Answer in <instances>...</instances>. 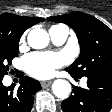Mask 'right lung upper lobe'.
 Masks as SVG:
<instances>
[{"label":"right lung upper lobe","mask_w":112,"mask_h":112,"mask_svg":"<svg viewBox=\"0 0 112 112\" xmlns=\"http://www.w3.org/2000/svg\"><path fill=\"white\" fill-rule=\"evenodd\" d=\"M42 21L44 19L40 17H21L11 13L2 14L0 15V36L21 37L27 28Z\"/></svg>","instance_id":"right-lung-upper-lobe-1"}]
</instances>
